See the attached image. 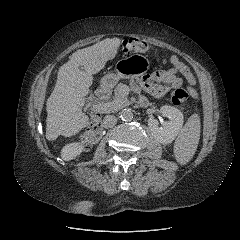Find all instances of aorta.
I'll list each match as a JSON object with an SVG mask.
<instances>
[{"mask_svg": "<svg viewBox=\"0 0 240 240\" xmlns=\"http://www.w3.org/2000/svg\"><path fill=\"white\" fill-rule=\"evenodd\" d=\"M119 115L123 121H131L133 119V113L130 109H122Z\"/></svg>", "mask_w": 240, "mask_h": 240, "instance_id": "obj_1", "label": "aorta"}]
</instances>
